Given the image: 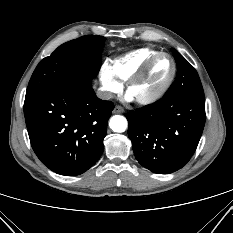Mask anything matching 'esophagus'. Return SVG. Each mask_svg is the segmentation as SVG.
I'll list each match as a JSON object with an SVG mask.
<instances>
[{
  "label": "esophagus",
  "mask_w": 233,
  "mask_h": 233,
  "mask_svg": "<svg viewBox=\"0 0 233 233\" xmlns=\"http://www.w3.org/2000/svg\"><path fill=\"white\" fill-rule=\"evenodd\" d=\"M123 112H124V109L121 106L116 105L114 107V110H113L114 114H120V113H123Z\"/></svg>",
  "instance_id": "obj_1"
}]
</instances>
